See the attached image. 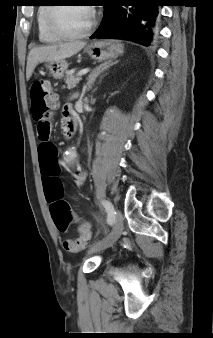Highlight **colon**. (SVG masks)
<instances>
[{"instance_id": "obj_1", "label": "colon", "mask_w": 213, "mask_h": 338, "mask_svg": "<svg viewBox=\"0 0 213 338\" xmlns=\"http://www.w3.org/2000/svg\"><path fill=\"white\" fill-rule=\"evenodd\" d=\"M30 99L32 116L38 125L37 135L43 141H47L51 135V125L48 122H43V119L49 118L50 114L57 109L55 94L49 81L39 79L34 82L30 92ZM41 151L46 156H50L52 152L56 151V147L52 144H44L41 147ZM60 171L61 169L59 172ZM59 197L62 201L53 205L51 212L56 224L60 227H64L70 219L71 208L63 199L62 193ZM78 230L80 232L78 238L68 239L63 242L65 250L70 253H76L83 250L90 241V224L82 223L79 225Z\"/></svg>"}]
</instances>
